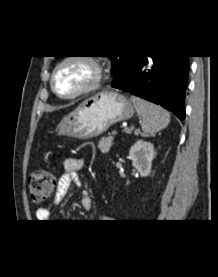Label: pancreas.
Listing matches in <instances>:
<instances>
[{"label":"pancreas","instance_id":"1","mask_svg":"<svg viewBox=\"0 0 218 277\" xmlns=\"http://www.w3.org/2000/svg\"><path fill=\"white\" fill-rule=\"evenodd\" d=\"M112 141H113V137H106V138H102L99 142H98V148L100 149V151L102 153H108L111 146H112Z\"/></svg>","mask_w":218,"mask_h":277}]
</instances>
